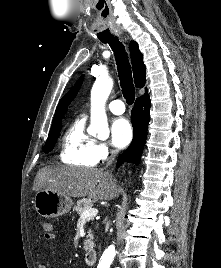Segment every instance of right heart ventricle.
I'll list each match as a JSON object with an SVG mask.
<instances>
[{
    "mask_svg": "<svg viewBox=\"0 0 221 268\" xmlns=\"http://www.w3.org/2000/svg\"><path fill=\"white\" fill-rule=\"evenodd\" d=\"M85 118H77L61 140L60 160L68 165L93 167L98 163L96 140L85 131Z\"/></svg>",
    "mask_w": 221,
    "mask_h": 268,
    "instance_id": "e07e8e85",
    "label": "right heart ventricle"
}]
</instances>
